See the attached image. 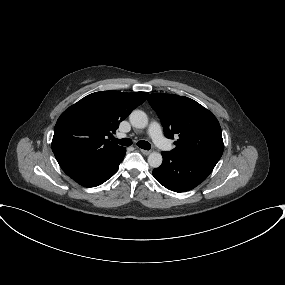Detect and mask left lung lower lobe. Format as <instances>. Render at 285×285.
<instances>
[{
  "label": "left lung lower lobe",
  "mask_w": 285,
  "mask_h": 285,
  "mask_svg": "<svg viewBox=\"0 0 285 285\" xmlns=\"http://www.w3.org/2000/svg\"><path fill=\"white\" fill-rule=\"evenodd\" d=\"M163 163L153 170L155 179L167 189L185 192L195 188L212 172L213 167L184 159L169 152H162Z\"/></svg>",
  "instance_id": "left-lung-lower-lobe-1"
}]
</instances>
